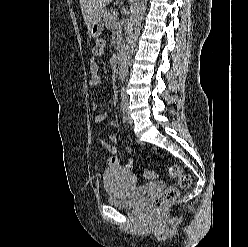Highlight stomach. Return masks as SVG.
<instances>
[{
    "label": "stomach",
    "mask_w": 248,
    "mask_h": 247,
    "mask_svg": "<svg viewBox=\"0 0 248 247\" xmlns=\"http://www.w3.org/2000/svg\"><path fill=\"white\" fill-rule=\"evenodd\" d=\"M105 12H100L89 23L87 29L90 37L96 38L103 31Z\"/></svg>",
    "instance_id": "obj_1"
}]
</instances>
